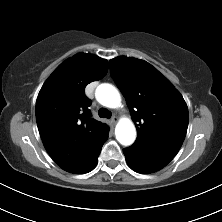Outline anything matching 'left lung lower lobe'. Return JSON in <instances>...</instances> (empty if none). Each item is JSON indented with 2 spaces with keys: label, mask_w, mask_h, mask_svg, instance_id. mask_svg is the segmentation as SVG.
Listing matches in <instances>:
<instances>
[{
  "label": "left lung lower lobe",
  "mask_w": 222,
  "mask_h": 222,
  "mask_svg": "<svg viewBox=\"0 0 222 222\" xmlns=\"http://www.w3.org/2000/svg\"><path fill=\"white\" fill-rule=\"evenodd\" d=\"M125 157H126V161H127L128 165H129L134 171H136V172H138V173H152V172L158 171V170L153 169V168H151V167H149V166H146V165H143V164H141V163H138V162H136L135 160H133V159L127 157V156H125Z\"/></svg>",
  "instance_id": "1"
}]
</instances>
